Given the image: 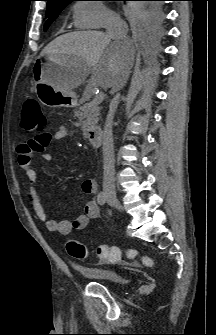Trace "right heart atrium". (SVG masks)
<instances>
[{
  "label": "right heart atrium",
  "mask_w": 216,
  "mask_h": 335,
  "mask_svg": "<svg viewBox=\"0 0 216 335\" xmlns=\"http://www.w3.org/2000/svg\"><path fill=\"white\" fill-rule=\"evenodd\" d=\"M73 15L77 27L84 29H99L119 21V17L113 11L98 1L76 2Z\"/></svg>",
  "instance_id": "right-heart-atrium-1"
}]
</instances>
